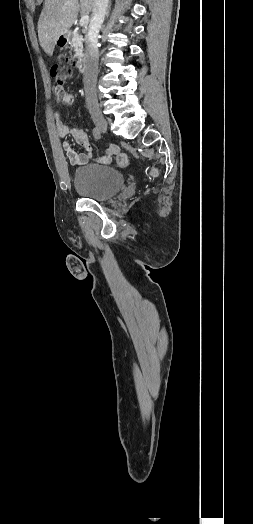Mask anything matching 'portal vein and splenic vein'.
<instances>
[{"label":"portal vein and splenic vein","instance_id":"obj_1","mask_svg":"<svg viewBox=\"0 0 253 524\" xmlns=\"http://www.w3.org/2000/svg\"><path fill=\"white\" fill-rule=\"evenodd\" d=\"M89 22V15H83L80 19V25L84 26Z\"/></svg>","mask_w":253,"mask_h":524}]
</instances>
